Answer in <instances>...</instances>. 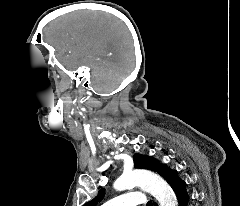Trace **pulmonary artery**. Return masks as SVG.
Here are the masks:
<instances>
[{"label": "pulmonary artery", "instance_id": "pulmonary-artery-1", "mask_svg": "<svg viewBox=\"0 0 240 206\" xmlns=\"http://www.w3.org/2000/svg\"><path fill=\"white\" fill-rule=\"evenodd\" d=\"M144 202L145 198L142 193L132 191L117 196L105 202L102 206H137L139 204H143Z\"/></svg>", "mask_w": 240, "mask_h": 206}]
</instances>
